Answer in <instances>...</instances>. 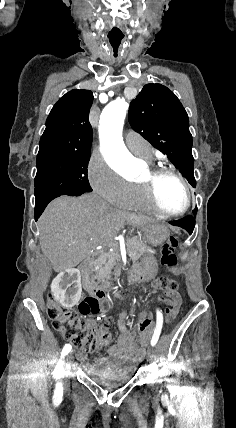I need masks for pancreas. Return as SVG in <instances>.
<instances>
[{"mask_svg":"<svg viewBox=\"0 0 236 428\" xmlns=\"http://www.w3.org/2000/svg\"><path fill=\"white\" fill-rule=\"evenodd\" d=\"M125 246L128 256L132 262H136V260H139L141 256L146 254V244H143V242L138 240V238H127ZM119 252V246H117L114 254L113 252H111V254H102V256H99L98 258L100 270H98L97 278L98 280H101L103 288H110L111 286V282H109L111 278V270L113 266H117V264L121 262Z\"/></svg>","mask_w":236,"mask_h":428,"instance_id":"pancreas-1","label":"pancreas"}]
</instances>
